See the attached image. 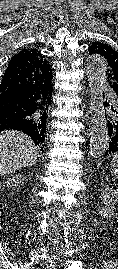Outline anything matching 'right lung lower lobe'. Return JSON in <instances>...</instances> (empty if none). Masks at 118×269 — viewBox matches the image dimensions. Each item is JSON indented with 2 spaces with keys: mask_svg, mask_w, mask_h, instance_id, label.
I'll return each mask as SVG.
<instances>
[{
  "mask_svg": "<svg viewBox=\"0 0 118 269\" xmlns=\"http://www.w3.org/2000/svg\"><path fill=\"white\" fill-rule=\"evenodd\" d=\"M36 99L37 94L28 91L0 92V131H23L43 146L46 131L38 132L36 126Z\"/></svg>",
  "mask_w": 118,
  "mask_h": 269,
  "instance_id": "obj_1",
  "label": "right lung lower lobe"
}]
</instances>
